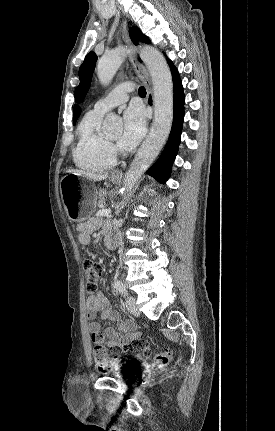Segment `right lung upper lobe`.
<instances>
[{"mask_svg": "<svg viewBox=\"0 0 275 431\" xmlns=\"http://www.w3.org/2000/svg\"><path fill=\"white\" fill-rule=\"evenodd\" d=\"M130 36H131L132 41L136 44L137 43L136 38L131 33H130ZM80 113H81L80 107L75 105L74 109H73V123L74 124L76 123V120L79 117Z\"/></svg>", "mask_w": 275, "mask_h": 431, "instance_id": "1", "label": "right lung upper lobe"}]
</instances>
